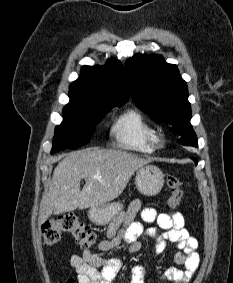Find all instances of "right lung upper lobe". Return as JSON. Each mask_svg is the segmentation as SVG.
<instances>
[{"label": "right lung upper lobe", "instance_id": "cb5924a9", "mask_svg": "<svg viewBox=\"0 0 233 283\" xmlns=\"http://www.w3.org/2000/svg\"><path fill=\"white\" fill-rule=\"evenodd\" d=\"M71 101L107 106L124 104L129 99V86L122 64L108 60L106 66H83L80 77L69 87Z\"/></svg>", "mask_w": 233, "mask_h": 283}]
</instances>
